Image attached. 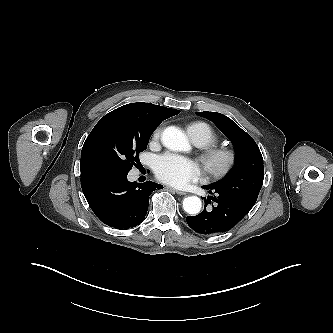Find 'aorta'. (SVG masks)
Listing matches in <instances>:
<instances>
[{
	"label": "aorta",
	"instance_id": "obj_1",
	"mask_svg": "<svg viewBox=\"0 0 333 333\" xmlns=\"http://www.w3.org/2000/svg\"><path fill=\"white\" fill-rule=\"evenodd\" d=\"M161 140L163 145L172 151H187L189 149L185 133L175 126L165 128ZM201 207L202 202L197 196H189L183 200V208L188 214H198Z\"/></svg>",
	"mask_w": 333,
	"mask_h": 333
}]
</instances>
